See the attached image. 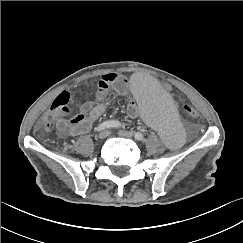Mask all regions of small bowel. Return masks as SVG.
I'll list each match as a JSON object with an SVG mask.
<instances>
[{"label":"small bowel","instance_id":"c3829d8e","mask_svg":"<svg viewBox=\"0 0 243 243\" xmlns=\"http://www.w3.org/2000/svg\"><path fill=\"white\" fill-rule=\"evenodd\" d=\"M129 87V80L123 75L109 73L103 75L97 83V93L95 97L85 102L79 112L70 119L60 117L67 115L69 112L62 113L57 117L56 127L62 136H79L87 133L93 123L105 112L106 99L110 88H114L119 93H126ZM138 106L132 102L127 109V113L131 118L139 115Z\"/></svg>","mask_w":243,"mask_h":243}]
</instances>
